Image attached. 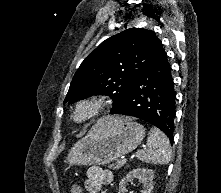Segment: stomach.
<instances>
[{
    "label": "stomach",
    "instance_id": "1",
    "mask_svg": "<svg viewBox=\"0 0 221 193\" xmlns=\"http://www.w3.org/2000/svg\"><path fill=\"white\" fill-rule=\"evenodd\" d=\"M145 136L144 127L130 119L107 125L98 121L69 151L70 165H104L133 151Z\"/></svg>",
    "mask_w": 221,
    "mask_h": 193
}]
</instances>
